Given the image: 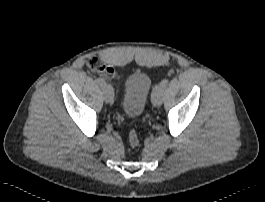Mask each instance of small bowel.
Wrapping results in <instances>:
<instances>
[{"instance_id":"small-bowel-1","label":"small bowel","mask_w":265,"mask_h":202,"mask_svg":"<svg viewBox=\"0 0 265 202\" xmlns=\"http://www.w3.org/2000/svg\"><path fill=\"white\" fill-rule=\"evenodd\" d=\"M86 65L89 69L102 74L110 80H116L118 78L116 69L109 64L100 65L97 56H90L86 61Z\"/></svg>"}]
</instances>
